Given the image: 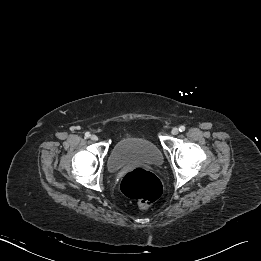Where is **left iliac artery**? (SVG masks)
I'll list each match as a JSON object with an SVG mask.
<instances>
[{
	"label": "left iliac artery",
	"instance_id": "1",
	"mask_svg": "<svg viewBox=\"0 0 261 261\" xmlns=\"http://www.w3.org/2000/svg\"><path fill=\"white\" fill-rule=\"evenodd\" d=\"M179 131H180V132H183V131H185V126H183V125H182V126H180V127H179Z\"/></svg>",
	"mask_w": 261,
	"mask_h": 261
}]
</instances>
